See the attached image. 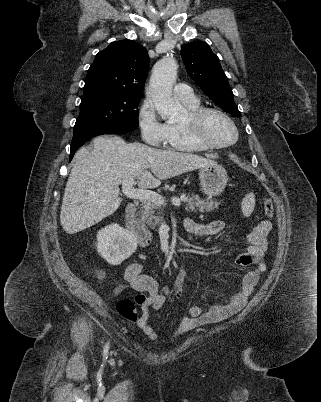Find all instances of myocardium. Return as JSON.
I'll use <instances>...</instances> for the list:
<instances>
[{
  "instance_id": "1",
  "label": "myocardium",
  "mask_w": 321,
  "mask_h": 402,
  "mask_svg": "<svg viewBox=\"0 0 321 402\" xmlns=\"http://www.w3.org/2000/svg\"><path fill=\"white\" fill-rule=\"evenodd\" d=\"M209 114H217L224 118L234 130V139L228 143H214L203 132V123ZM183 125L193 140L206 149H225L233 146L239 139V130L234 120L223 110L215 107H201L187 113L183 119Z\"/></svg>"
}]
</instances>
